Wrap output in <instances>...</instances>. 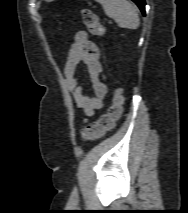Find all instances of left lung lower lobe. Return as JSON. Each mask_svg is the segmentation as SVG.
I'll list each match as a JSON object with an SVG mask.
<instances>
[{
    "label": "left lung lower lobe",
    "instance_id": "obj_1",
    "mask_svg": "<svg viewBox=\"0 0 188 213\" xmlns=\"http://www.w3.org/2000/svg\"><path fill=\"white\" fill-rule=\"evenodd\" d=\"M133 2H135L138 7L140 8V10L142 11L143 14H145V1L144 0H132Z\"/></svg>",
    "mask_w": 188,
    "mask_h": 213
}]
</instances>
